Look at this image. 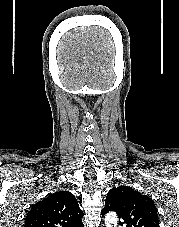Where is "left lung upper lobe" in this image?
Here are the masks:
<instances>
[{
    "label": "left lung upper lobe",
    "instance_id": "left-lung-upper-lobe-1",
    "mask_svg": "<svg viewBox=\"0 0 179 227\" xmlns=\"http://www.w3.org/2000/svg\"><path fill=\"white\" fill-rule=\"evenodd\" d=\"M109 211L118 214L121 226L125 224L126 227H160L157 208L151 198L128 186L109 190L101 214L105 215Z\"/></svg>",
    "mask_w": 179,
    "mask_h": 227
}]
</instances>
